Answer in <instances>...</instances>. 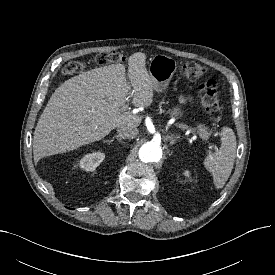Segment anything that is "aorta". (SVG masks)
Returning a JSON list of instances; mask_svg holds the SVG:
<instances>
[{
  "label": "aorta",
  "instance_id": "aorta-1",
  "mask_svg": "<svg viewBox=\"0 0 275 275\" xmlns=\"http://www.w3.org/2000/svg\"><path fill=\"white\" fill-rule=\"evenodd\" d=\"M162 157V148L160 144L149 141L139 149V159L144 163L158 162Z\"/></svg>",
  "mask_w": 275,
  "mask_h": 275
}]
</instances>
